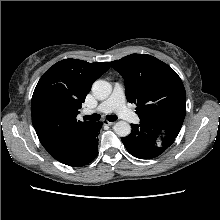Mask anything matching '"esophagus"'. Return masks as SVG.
Wrapping results in <instances>:
<instances>
[{
	"label": "esophagus",
	"mask_w": 220,
	"mask_h": 220,
	"mask_svg": "<svg viewBox=\"0 0 220 220\" xmlns=\"http://www.w3.org/2000/svg\"><path fill=\"white\" fill-rule=\"evenodd\" d=\"M114 123H115V122L104 121V124H105V125H109V126L113 125Z\"/></svg>",
	"instance_id": "obj_1"
}]
</instances>
